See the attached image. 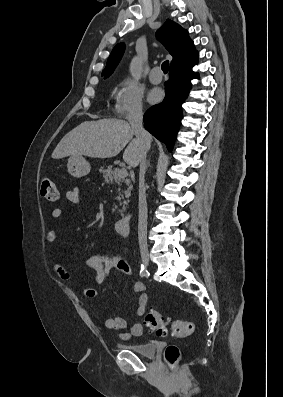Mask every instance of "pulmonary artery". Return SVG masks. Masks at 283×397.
I'll return each mask as SVG.
<instances>
[{"mask_svg": "<svg viewBox=\"0 0 283 397\" xmlns=\"http://www.w3.org/2000/svg\"><path fill=\"white\" fill-rule=\"evenodd\" d=\"M149 79L154 84H158L162 81V73H161V68L159 66H155L152 68L149 74Z\"/></svg>", "mask_w": 283, "mask_h": 397, "instance_id": "obj_1", "label": "pulmonary artery"}]
</instances>
